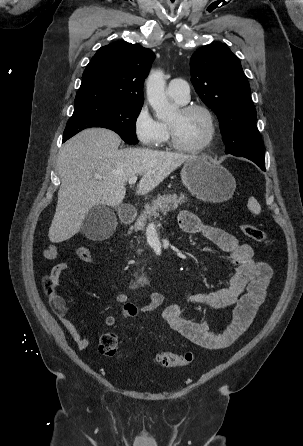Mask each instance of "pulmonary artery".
Wrapping results in <instances>:
<instances>
[{
    "label": "pulmonary artery",
    "instance_id": "e3ab8cb5",
    "mask_svg": "<svg viewBox=\"0 0 303 446\" xmlns=\"http://www.w3.org/2000/svg\"><path fill=\"white\" fill-rule=\"evenodd\" d=\"M167 93L172 98L187 102L190 94L189 84L184 79L174 78L168 83Z\"/></svg>",
    "mask_w": 303,
    "mask_h": 446
}]
</instances>
